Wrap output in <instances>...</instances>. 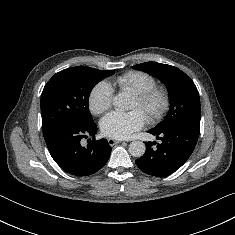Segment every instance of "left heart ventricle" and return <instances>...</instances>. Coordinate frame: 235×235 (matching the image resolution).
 <instances>
[{
    "mask_svg": "<svg viewBox=\"0 0 235 235\" xmlns=\"http://www.w3.org/2000/svg\"><path fill=\"white\" fill-rule=\"evenodd\" d=\"M130 108L131 109H140L147 116L146 108L139 102V100L136 97L133 98L132 103L130 105Z\"/></svg>",
    "mask_w": 235,
    "mask_h": 235,
    "instance_id": "b2bd125f",
    "label": "left heart ventricle"
}]
</instances>
